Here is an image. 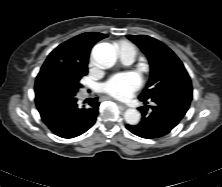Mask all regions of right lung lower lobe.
Wrapping results in <instances>:
<instances>
[{
    "mask_svg": "<svg viewBox=\"0 0 222 187\" xmlns=\"http://www.w3.org/2000/svg\"><path fill=\"white\" fill-rule=\"evenodd\" d=\"M75 89L58 66L40 71L35 83V103L41 119L57 136L73 138L90 129L100 103L95 98L88 108H79Z\"/></svg>",
    "mask_w": 222,
    "mask_h": 187,
    "instance_id": "98d812e1",
    "label": "right lung lower lobe"
}]
</instances>
